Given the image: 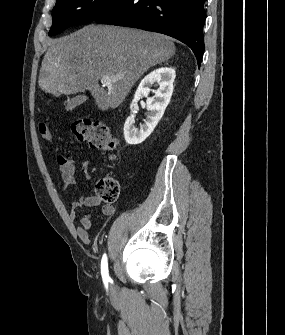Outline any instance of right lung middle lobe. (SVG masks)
<instances>
[{"mask_svg":"<svg viewBox=\"0 0 285 335\" xmlns=\"http://www.w3.org/2000/svg\"><path fill=\"white\" fill-rule=\"evenodd\" d=\"M120 0H57L52 12L53 24L49 36L70 26L95 20Z\"/></svg>","mask_w":285,"mask_h":335,"instance_id":"obj_1","label":"right lung middle lobe"}]
</instances>
